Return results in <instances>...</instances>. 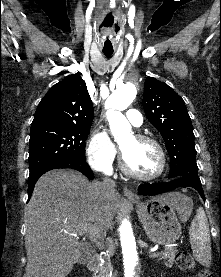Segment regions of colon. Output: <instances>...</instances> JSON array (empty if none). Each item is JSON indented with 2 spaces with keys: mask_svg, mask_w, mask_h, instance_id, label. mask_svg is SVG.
Wrapping results in <instances>:
<instances>
[{
  "mask_svg": "<svg viewBox=\"0 0 221 277\" xmlns=\"http://www.w3.org/2000/svg\"><path fill=\"white\" fill-rule=\"evenodd\" d=\"M176 264L180 269L183 270H191L195 267V261L192 255L185 251H181L177 254ZM198 277H215V275L208 270H202L198 274Z\"/></svg>",
  "mask_w": 221,
  "mask_h": 277,
  "instance_id": "colon-1",
  "label": "colon"
}]
</instances>
